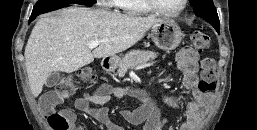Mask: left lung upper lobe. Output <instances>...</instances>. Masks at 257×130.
<instances>
[{"label":"left lung upper lobe","instance_id":"left-lung-upper-lobe-1","mask_svg":"<svg viewBox=\"0 0 257 130\" xmlns=\"http://www.w3.org/2000/svg\"><path fill=\"white\" fill-rule=\"evenodd\" d=\"M190 3L196 15L211 22L215 28H219L218 14L212 0H190Z\"/></svg>","mask_w":257,"mask_h":130}]
</instances>
